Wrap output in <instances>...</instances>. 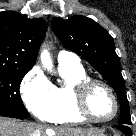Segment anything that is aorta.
<instances>
[{
  "mask_svg": "<svg viewBox=\"0 0 136 136\" xmlns=\"http://www.w3.org/2000/svg\"><path fill=\"white\" fill-rule=\"evenodd\" d=\"M40 58H41V62L43 64L44 68L47 71L52 72L53 64H52L51 56H50V53L48 52V50L44 49L41 52Z\"/></svg>",
  "mask_w": 136,
  "mask_h": 136,
  "instance_id": "762f6f07",
  "label": "aorta"
}]
</instances>
